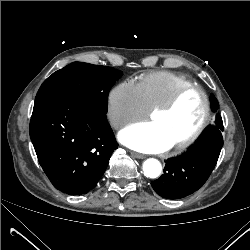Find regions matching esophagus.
Wrapping results in <instances>:
<instances>
[{"label":"esophagus","mask_w":250,"mask_h":250,"mask_svg":"<svg viewBox=\"0 0 250 250\" xmlns=\"http://www.w3.org/2000/svg\"><path fill=\"white\" fill-rule=\"evenodd\" d=\"M130 153H131V155L133 157H135L137 159H143V158H145V155H143V154H140V153H137V152H134V151H131Z\"/></svg>","instance_id":"34e87169"}]
</instances>
